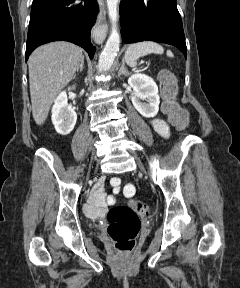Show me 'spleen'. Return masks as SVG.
I'll list each match as a JSON object with an SVG mask.
<instances>
[{"mask_svg": "<svg viewBox=\"0 0 240 288\" xmlns=\"http://www.w3.org/2000/svg\"><path fill=\"white\" fill-rule=\"evenodd\" d=\"M164 49L161 45L153 41H143L139 43L131 44L125 52V60L127 64L131 66H135L137 64V60L150 53L161 54ZM168 57H173L171 51L166 52Z\"/></svg>", "mask_w": 240, "mask_h": 288, "instance_id": "obj_1", "label": "spleen"}]
</instances>
